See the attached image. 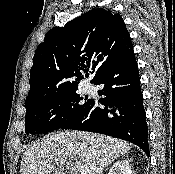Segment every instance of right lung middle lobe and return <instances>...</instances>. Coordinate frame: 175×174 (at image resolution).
<instances>
[{
	"instance_id": "1",
	"label": "right lung middle lobe",
	"mask_w": 175,
	"mask_h": 174,
	"mask_svg": "<svg viewBox=\"0 0 175 174\" xmlns=\"http://www.w3.org/2000/svg\"><path fill=\"white\" fill-rule=\"evenodd\" d=\"M77 88L58 92L26 105V134H42L63 129L89 104Z\"/></svg>"
}]
</instances>
